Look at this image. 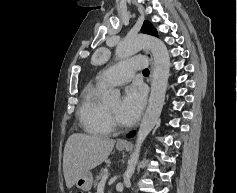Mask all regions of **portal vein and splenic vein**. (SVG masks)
I'll use <instances>...</instances> for the list:
<instances>
[{"label":"portal vein and splenic vein","mask_w":237,"mask_h":193,"mask_svg":"<svg viewBox=\"0 0 237 193\" xmlns=\"http://www.w3.org/2000/svg\"><path fill=\"white\" fill-rule=\"evenodd\" d=\"M107 179H108V172H106V173L104 174V176L102 177L101 183L104 184V183L107 181Z\"/></svg>","instance_id":"1"}]
</instances>
